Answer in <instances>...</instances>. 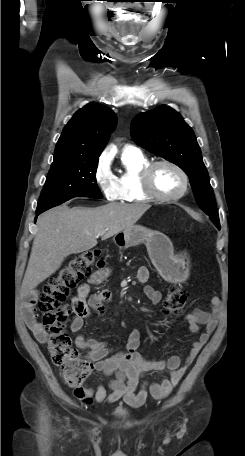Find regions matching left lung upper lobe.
Here are the masks:
<instances>
[{
  "label": "left lung upper lobe",
  "instance_id": "left-lung-upper-lobe-1",
  "mask_svg": "<svg viewBox=\"0 0 245 456\" xmlns=\"http://www.w3.org/2000/svg\"><path fill=\"white\" fill-rule=\"evenodd\" d=\"M130 130L138 145L176 164L188 175L198 205L218 228L215 197L201 150L181 115L163 105L136 115Z\"/></svg>",
  "mask_w": 245,
  "mask_h": 456
}]
</instances>
